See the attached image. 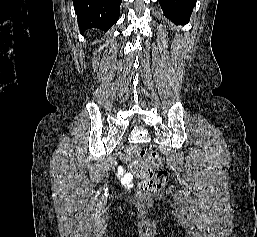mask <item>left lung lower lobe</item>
I'll return each mask as SVG.
<instances>
[{
	"label": "left lung lower lobe",
	"instance_id": "1",
	"mask_svg": "<svg viewBox=\"0 0 257 237\" xmlns=\"http://www.w3.org/2000/svg\"><path fill=\"white\" fill-rule=\"evenodd\" d=\"M164 15L176 25L189 22L196 0H159Z\"/></svg>",
	"mask_w": 257,
	"mask_h": 237
}]
</instances>
